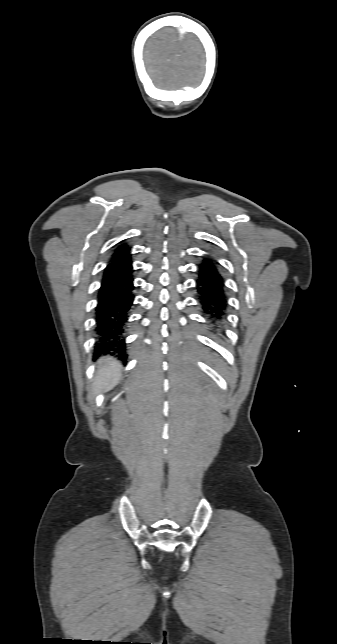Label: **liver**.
<instances>
[{
	"label": "liver",
	"instance_id": "1",
	"mask_svg": "<svg viewBox=\"0 0 337 644\" xmlns=\"http://www.w3.org/2000/svg\"><path fill=\"white\" fill-rule=\"evenodd\" d=\"M98 370L93 380L91 396H96L103 391L110 390L119 381L122 366L120 362L112 357H104L98 360Z\"/></svg>",
	"mask_w": 337,
	"mask_h": 644
}]
</instances>
